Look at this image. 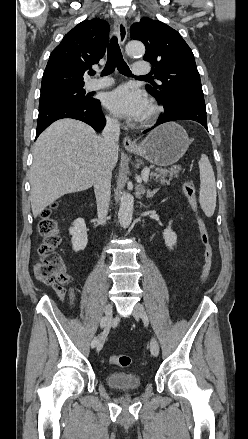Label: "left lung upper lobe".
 I'll list each match as a JSON object with an SVG mask.
<instances>
[{"mask_svg": "<svg viewBox=\"0 0 248 439\" xmlns=\"http://www.w3.org/2000/svg\"><path fill=\"white\" fill-rule=\"evenodd\" d=\"M130 32L132 39L146 47L143 59L152 64L155 78L161 82L146 85V89L164 110L182 102L205 106L193 52L176 30L158 20L142 18Z\"/></svg>", "mask_w": 248, "mask_h": 439, "instance_id": "1", "label": "left lung upper lobe"}]
</instances>
